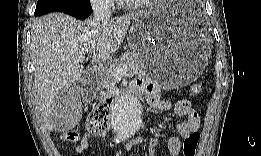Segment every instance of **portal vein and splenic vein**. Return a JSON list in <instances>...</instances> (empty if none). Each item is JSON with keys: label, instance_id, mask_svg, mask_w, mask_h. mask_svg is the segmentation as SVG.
Masks as SVG:
<instances>
[{"label": "portal vein and splenic vein", "instance_id": "portal-vein-and-splenic-vein-1", "mask_svg": "<svg viewBox=\"0 0 261 156\" xmlns=\"http://www.w3.org/2000/svg\"><path fill=\"white\" fill-rule=\"evenodd\" d=\"M84 60V56H80L79 61L82 62ZM130 70V68L128 66H123V67H118L116 69V76H122L124 75L126 72H128Z\"/></svg>", "mask_w": 261, "mask_h": 156}]
</instances>
